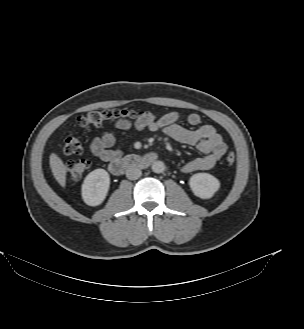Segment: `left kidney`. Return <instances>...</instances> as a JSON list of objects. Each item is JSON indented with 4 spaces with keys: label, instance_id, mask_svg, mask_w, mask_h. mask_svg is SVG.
Listing matches in <instances>:
<instances>
[{
    "label": "left kidney",
    "instance_id": "1",
    "mask_svg": "<svg viewBox=\"0 0 304 329\" xmlns=\"http://www.w3.org/2000/svg\"><path fill=\"white\" fill-rule=\"evenodd\" d=\"M189 186L195 196L209 199L219 190L220 182L211 174L196 173L190 177Z\"/></svg>",
    "mask_w": 304,
    "mask_h": 329
}]
</instances>
